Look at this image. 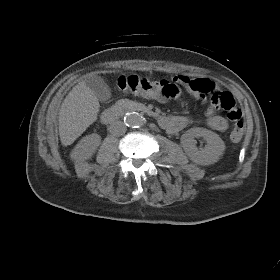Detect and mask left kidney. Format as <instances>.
I'll return each mask as SVG.
<instances>
[{
  "mask_svg": "<svg viewBox=\"0 0 280 280\" xmlns=\"http://www.w3.org/2000/svg\"><path fill=\"white\" fill-rule=\"evenodd\" d=\"M195 137H203L207 141L204 148L198 149ZM182 145L191 160L197 163L216 161L224 150V142L216 133L204 128H191L182 136Z\"/></svg>",
  "mask_w": 280,
  "mask_h": 280,
  "instance_id": "5707ae66",
  "label": "left kidney"
}]
</instances>
